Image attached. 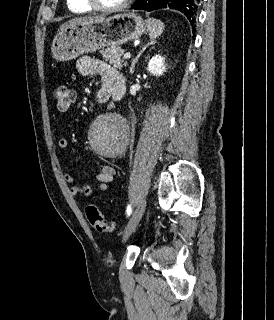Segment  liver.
I'll list each match as a JSON object with an SVG mask.
<instances>
[{
  "label": "liver",
  "instance_id": "liver-1",
  "mask_svg": "<svg viewBox=\"0 0 274 320\" xmlns=\"http://www.w3.org/2000/svg\"><path fill=\"white\" fill-rule=\"evenodd\" d=\"M105 16H84V18H74V20H69L67 24H62L60 30H64L67 26H76V24H84V22H91V20H103Z\"/></svg>",
  "mask_w": 274,
  "mask_h": 320
}]
</instances>
